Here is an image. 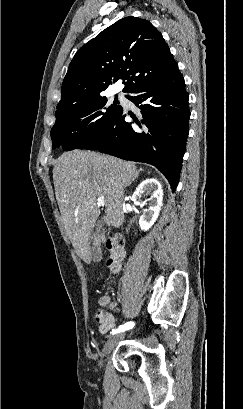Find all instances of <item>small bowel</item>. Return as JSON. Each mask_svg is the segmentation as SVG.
<instances>
[{
    "label": "small bowel",
    "instance_id": "obj_1",
    "mask_svg": "<svg viewBox=\"0 0 243 409\" xmlns=\"http://www.w3.org/2000/svg\"><path fill=\"white\" fill-rule=\"evenodd\" d=\"M99 306L103 311V316L99 322L98 328L101 334H107L111 329L116 326L117 318L114 313L118 311L115 305L111 302L109 296H102L99 299Z\"/></svg>",
    "mask_w": 243,
    "mask_h": 409
}]
</instances>
